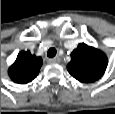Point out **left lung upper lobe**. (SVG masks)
<instances>
[{"instance_id": "obj_1", "label": "left lung upper lobe", "mask_w": 115, "mask_h": 114, "mask_svg": "<svg viewBox=\"0 0 115 114\" xmlns=\"http://www.w3.org/2000/svg\"><path fill=\"white\" fill-rule=\"evenodd\" d=\"M107 67L106 55L94 47L80 43L71 53L67 69L80 82L89 83L101 78Z\"/></svg>"}]
</instances>
